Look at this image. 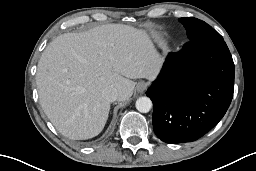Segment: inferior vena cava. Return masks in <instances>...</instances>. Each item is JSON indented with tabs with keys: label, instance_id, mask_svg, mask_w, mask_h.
<instances>
[{
	"label": "inferior vena cava",
	"instance_id": "inferior-vena-cava-1",
	"mask_svg": "<svg viewBox=\"0 0 256 171\" xmlns=\"http://www.w3.org/2000/svg\"><path fill=\"white\" fill-rule=\"evenodd\" d=\"M103 97L108 101V102H114L118 100V90L114 87H107L102 91Z\"/></svg>",
	"mask_w": 256,
	"mask_h": 171
}]
</instances>
